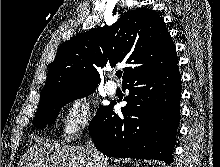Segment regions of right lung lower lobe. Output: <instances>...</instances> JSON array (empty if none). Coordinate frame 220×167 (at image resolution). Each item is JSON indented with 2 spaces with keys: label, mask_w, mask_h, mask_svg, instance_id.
Masks as SVG:
<instances>
[{
  "label": "right lung lower lobe",
  "mask_w": 220,
  "mask_h": 167,
  "mask_svg": "<svg viewBox=\"0 0 220 167\" xmlns=\"http://www.w3.org/2000/svg\"><path fill=\"white\" fill-rule=\"evenodd\" d=\"M177 62L137 74L122 83L129 95L122 115L104 107L89 129L98 150L118 158L172 163L180 120L181 76Z\"/></svg>",
  "instance_id": "obj_1"
}]
</instances>
